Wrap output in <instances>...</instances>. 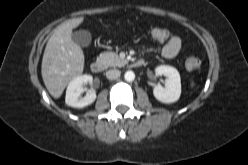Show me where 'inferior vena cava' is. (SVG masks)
I'll return each instance as SVG.
<instances>
[{"instance_id":"inferior-vena-cava-1","label":"inferior vena cava","mask_w":248,"mask_h":165,"mask_svg":"<svg viewBox=\"0 0 248 165\" xmlns=\"http://www.w3.org/2000/svg\"><path fill=\"white\" fill-rule=\"evenodd\" d=\"M121 72L117 69H112V70H108L106 72V77L110 80H114L117 79L118 77H120Z\"/></svg>"}]
</instances>
